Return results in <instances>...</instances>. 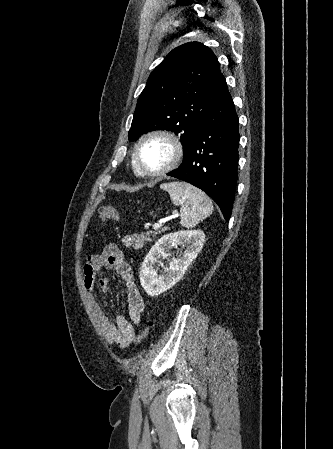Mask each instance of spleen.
I'll return each mask as SVG.
<instances>
[{
  "mask_svg": "<svg viewBox=\"0 0 333 449\" xmlns=\"http://www.w3.org/2000/svg\"><path fill=\"white\" fill-rule=\"evenodd\" d=\"M172 202L181 207V226L193 227L213 212L210 198L199 188L184 182H172L161 185Z\"/></svg>",
  "mask_w": 333,
  "mask_h": 449,
  "instance_id": "obj_1",
  "label": "spleen"
}]
</instances>
